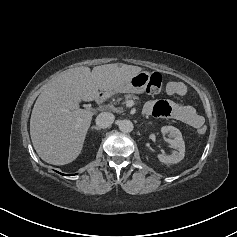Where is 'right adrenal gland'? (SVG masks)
Listing matches in <instances>:
<instances>
[{"mask_svg": "<svg viewBox=\"0 0 237 237\" xmlns=\"http://www.w3.org/2000/svg\"><path fill=\"white\" fill-rule=\"evenodd\" d=\"M91 129H92V130L94 129V130H97V131H100V130H101V128L98 127V126H92Z\"/></svg>", "mask_w": 237, "mask_h": 237, "instance_id": "1", "label": "right adrenal gland"}]
</instances>
